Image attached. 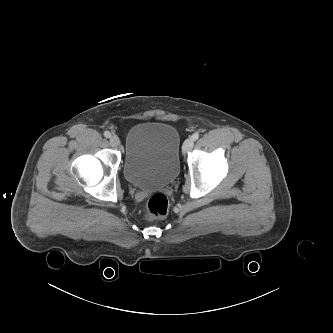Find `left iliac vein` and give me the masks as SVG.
Returning a JSON list of instances; mask_svg holds the SVG:
<instances>
[{"instance_id":"1","label":"left iliac vein","mask_w":333,"mask_h":333,"mask_svg":"<svg viewBox=\"0 0 333 333\" xmlns=\"http://www.w3.org/2000/svg\"><path fill=\"white\" fill-rule=\"evenodd\" d=\"M194 145V140L192 138H188L184 143H183V152L186 153L190 151L193 148Z\"/></svg>"}]
</instances>
